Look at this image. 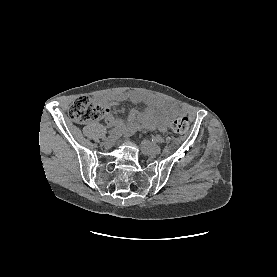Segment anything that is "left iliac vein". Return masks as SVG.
<instances>
[{
	"mask_svg": "<svg viewBox=\"0 0 277 277\" xmlns=\"http://www.w3.org/2000/svg\"><path fill=\"white\" fill-rule=\"evenodd\" d=\"M141 144L143 152L148 156H156L161 153V148L158 145L146 139H144Z\"/></svg>",
	"mask_w": 277,
	"mask_h": 277,
	"instance_id": "obj_1",
	"label": "left iliac vein"
}]
</instances>
